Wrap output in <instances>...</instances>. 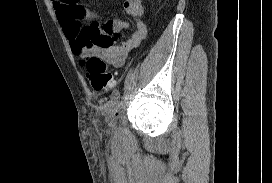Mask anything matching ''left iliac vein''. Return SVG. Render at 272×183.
Returning a JSON list of instances; mask_svg holds the SVG:
<instances>
[{"instance_id":"obj_1","label":"left iliac vein","mask_w":272,"mask_h":183,"mask_svg":"<svg viewBox=\"0 0 272 183\" xmlns=\"http://www.w3.org/2000/svg\"><path fill=\"white\" fill-rule=\"evenodd\" d=\"M117 101L112 99L105 104V117L109 121L111 127H115V119L117 112Z\"/></svg>"}]
</instances>
